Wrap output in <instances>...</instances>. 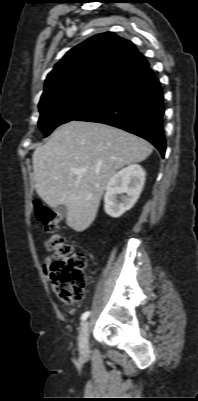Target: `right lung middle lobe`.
<instances>
[{
    "mask_svg": "<svg viewBox=\"0 0 198 401\" xmlns=\"http://www.w3.org/2000/svg\"><path fill=\"white\" fill-rule=\"evenodd\" d=\"M108 86L86 85L55 93L40 100L39 129L48 136L57 126L72 121L91 109Z\"/></svg>",
    "mask_w": 198,
    "mask_h": 401,
    "instance_id": "obj_1",
    "label": "right lung middle lobe"
}]
</instances>
